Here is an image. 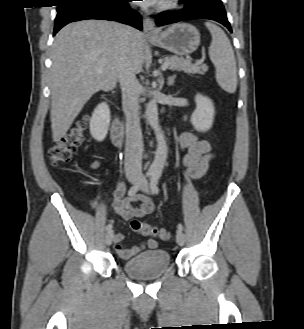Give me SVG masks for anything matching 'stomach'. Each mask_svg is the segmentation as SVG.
<instances>
[{
	"label": "stomach",
	"mask_w": 304,
	"mask_h": 329,
	"mask_svg": "<svg viewBox=\"0 0 304 329\" xmlns=\"http://www.w3.org/2000/svg\"><path fill=\"white\" fill-rule=\"evenodd\" d=\"M149 41L176 55L193 53L200 44V33L188 23H175Z\"/></svg>",
	"instance_id": "obj_1"
}]
</instances>
